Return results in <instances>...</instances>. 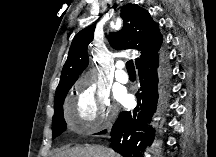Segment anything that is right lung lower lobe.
<instances>
[{
    "mask_svg": "<svg viewBox=\"0 0 216 157\" xmlns=\"http://www.w3.org/2000/svg\"><path fill=\"white\" fill-rule=\"evenodd\" d=\"M159 67L158 55L137 67L141 85L136 93L137 106L132 111L121 112L110 132L112 149L123 157H144V148L154 140L151 120L161 103V99L158 102ZM104 133L106 130L100 132Z\"/></svg>",
    "mask_w": 216,
    "mask_h": 157,
    "instance_id": "right-lung-lower-lobe-1",
    "label": "right lung lower lobe"
}]
</instances>
